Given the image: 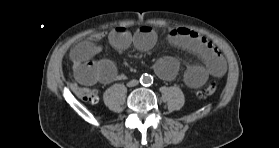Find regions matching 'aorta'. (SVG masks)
I'll return each instance as SVG.
<instances>
[{
  "mask_svg": "<svg viewBox=\"0 0 279 148\" xmlns=\"http://www.w3.org/2000/svg\"><path fill=\"white\" fill-rule=\"evenodd\" d=\"M141 83L145 85H149L152 83V77L149 76L148 74H145L144 76L141 77Z\"/></svg>",
  "mask_w": 279,
  "mask_h": 148,
  "instance_id": "aorta-1",
  "label": "aorta"
}]
</instances>
